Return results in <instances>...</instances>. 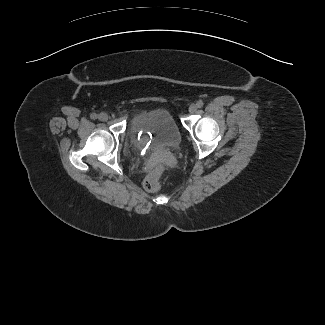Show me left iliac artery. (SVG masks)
Here are the masks:
<instances>
[{"label": "left iliac artery", "mask_w": 325, "mask_h": 325, "mask_svg": "<svg viewBox=\"0 0 325 325\" xmlns=\"http://www.w3.org/2000/svg\"><path fill=\"white\" fill-rule=\"evenodd\" d=\"M196 105H197L198 108H201V107H203L204 103H203L202 100H199V101L196 103Z\"/></svg>", "instance_id": "left-iliac-artery-1"}]
</instances>
